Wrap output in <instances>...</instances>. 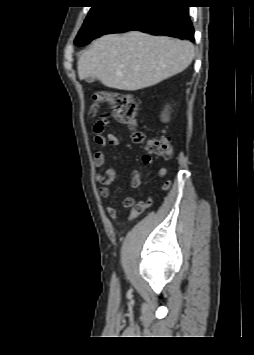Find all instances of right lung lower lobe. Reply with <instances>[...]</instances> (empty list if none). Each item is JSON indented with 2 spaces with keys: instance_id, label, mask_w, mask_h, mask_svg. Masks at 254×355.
<instances>
[{
  "instance_id": "98d812e1",
  "label": "right lung lower lobe",
  "mask_w": 254,
  "mask_h": 355,
  "mask_svg": "<svg viewBox=\"0 0 254 355\" xmlns=\"http://www.w3.org/2000/svg\"><path fill=\"white\" fill-rule=\"evenodd\" d=\"M186 0H134L120 4L108 17L95 36L141 31L155 35L185 38L194 41V30L188 16ZM88 40H75L85 45Z\"/></svg>"
}]
</instances>
